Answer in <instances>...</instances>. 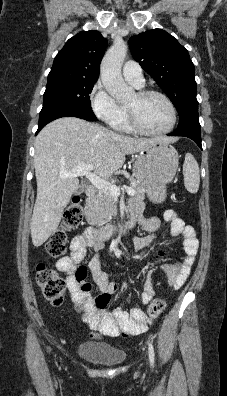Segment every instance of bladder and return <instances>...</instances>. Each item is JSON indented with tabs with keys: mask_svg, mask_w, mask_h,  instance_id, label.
<instances>
[{
	"mask_svg": "<svg viewBox=\"0 0 227 396\" xmlns=\"http://www.w3.org/2000/svg\"><path fill=\"white\" fill-rule=\"evenodd\" d=\"M79 357L100 366H115L126 359V353L99 342H82L77 347Z\"/></svg>",
	"mask_w": 227,
	"mask_h": 396,
	"instance_id": "1",
	"label": "bladder"
}]
</instances>
